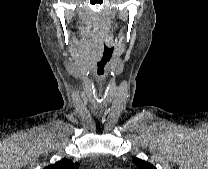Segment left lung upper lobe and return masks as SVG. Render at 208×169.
<instances>
[{
  "instance_id": "left-lung-upper-lobe-1",
  "label": "left lung upper lobe",
  "mask_w": 208,
  "mask_h": 169,
  "mask_svg": "<svg viewBox=\"0 0 208 169\" xmlns=\"http://www.w3.org/2000/svg\"><path fill=\"white\" fill-rule=\"evenodd\" d=\"M133 162L138 169H156L151 163L141 160L139 158L133 157Z\"/></svg>"
}]
</instances>
